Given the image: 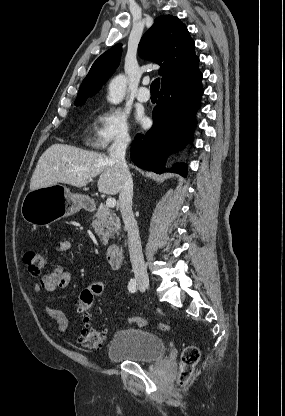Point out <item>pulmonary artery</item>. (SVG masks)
Here are the masks:
<instances>
[{
	"instance_id": "pulmonary-artery-1",
	"label": "pulmonary artery",
	"mask_w": 285,
	"mask_h": 416,
	"mask_svg": "<svg viewBox=\"0 0 285 416\" xmlns=\"http://www.w3.org/2000/svg\"><path fill=\"white\" fill-rule=\"evenodd\" d=\"M148 80L143 81V85L137 89V99L141 102H146L150 99L149 89L146 87L148 85Z\"/></svg>"
}]
</instances>
